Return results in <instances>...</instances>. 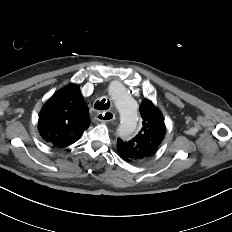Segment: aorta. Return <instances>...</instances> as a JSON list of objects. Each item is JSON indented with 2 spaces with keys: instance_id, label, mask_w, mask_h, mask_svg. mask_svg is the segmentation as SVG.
<instances>
[{
  "instance_id": "aorta-1",
  "label": "aorta",
  "mask_w": 232,
  "mask_h": 232,
  "mask_svg": "<svg viewBox=\"0 0 232 232\" xmlns=\"http://www.w3.org/2000/svg\"><path fill=\"white\" fill-rule=\"evenodd\" d=\"M110 96L120 116L118 133L123 137H130L138 128L137 104L126 94L124 87L121 85L112 87Z\"/></svg>"
}]
</instances>
